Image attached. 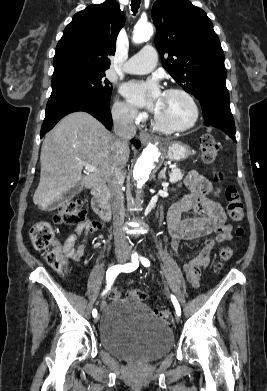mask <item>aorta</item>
Returning <instances> with one entry per match:
<instances>
[{"instance_id":"1","label":"aorta","mask_w":267,"mask_h":391,"mask_svg":"<svg viewBox=\"0 0 267 391\" xmlns=\"http://www.w3.org/2000/svg\"><path fill=\"white\" fill-rule=\"evenodd\" d=\"M153 34V26L150 23H137L134 27L132 40L134 43H142L150 39ZM160 156L157 144H148L143 150L142 155L137 160L133 170V177L136 180L137 187H142L154 169Z\"/></svg>"}]
</instances>
